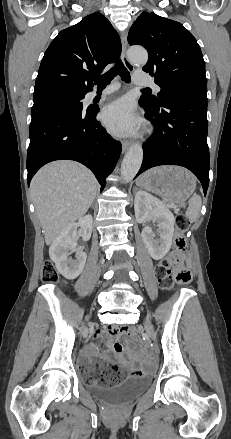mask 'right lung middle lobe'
<instances>
[{
    "label": "right lung middle lobe",
    "instance_id": "dd1d6c3e",
    "mask_svg": "<svg viewBox=\"0 0 231 439\" xmlns=\"http://www.w3.org/2000/svg\"><path fill=\"white\" fill-rule=\"evenodd\" d=\"M85 94L51 93L34 98L31 122H36L64 112L83 108Z\"/></svg>",
    "mask_w": 231,
    "mask_h": 439
}]
</instances>
